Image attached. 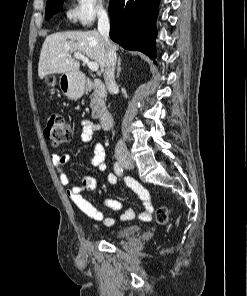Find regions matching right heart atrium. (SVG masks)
<instances>
[{"label": "right heart atrium", "mask_w": 247, "mask_h": 296, "mask_svg": "<svg viewBox=\"0 0 247 296\" xmlns=\"http://www.w3.org/2000/svg\"><path fill=\"white\" fill-rule=\"evenodd\" d=\"M106 13L104 0H72L67 17L74 24L90 27L97 18Z\"/></svg>", "instance_id": "obj_1"}]
</instances>
